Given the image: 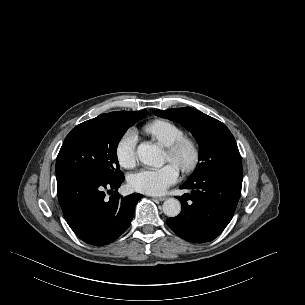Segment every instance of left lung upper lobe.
<instances>
[{
  "label": "left lung upper lobe",
  "mask_w": 305,
  "mask_h": 305,
  "mask_svg": "<svg viewBox=\"0 0 305 305\" xmlns=\"http://www.w3.org/2000/svg\"><path fill=\"white\" fill-rule=\"evenodd\" d=\"M157 116L183 124L197 138L199 163L188 180L232 163H241L235 138L219 120L190 107L156 110Z\"/></svg>",
  "instance_id": "left-lung-upper-lobe-1"
}]
</instances>
